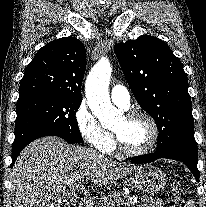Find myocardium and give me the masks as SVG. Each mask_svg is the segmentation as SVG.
Wrapping results in <instances>:
<instances>
[{
  "instance_id": "1",
  "label": "myocardium",
  "mask_w": 206,
  "mask_h": 207,
  "mask_svg": "<svg viewBox=\"0 0 206 207\" xmlns=\"http://www.w3.org/2000/svg\"><path fill=\"white\" fill-rule=\"evenodd\" d=\"M124 117L127 120H134L138 118L146 120L151 128V139L144 148L131 150L125 147L118 134L114 132L115 141L120 152L128 157H139L149 154L157 145L160 136L159 126L156 120L149 113L140 110L131 111L127 113Z\"/></svg>"
}]
</instances>
